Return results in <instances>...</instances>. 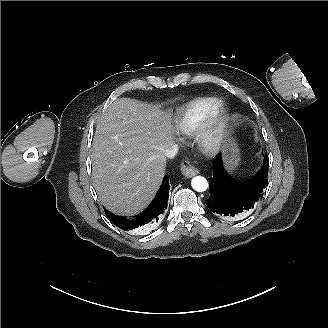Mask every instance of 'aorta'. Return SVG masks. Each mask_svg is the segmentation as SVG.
<instances>
[{"label":"aorta","instance_id":"obj_1","mask_svg":"<svg viewBox=\"0 0 328 328\" xmlns=\"http://www.w3.org/2000/svg\"><path fill=\"white\" fill-rule=\"evenodd\" d=\"M192 188L197 192H203L208 188L207 180L202 176H196L191 181Z\"/></svg>","mask_w":328,"mask_h":328}]
</instances>
